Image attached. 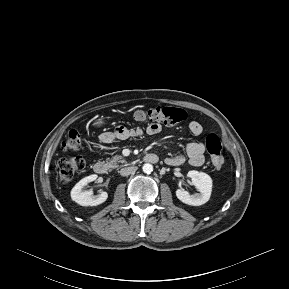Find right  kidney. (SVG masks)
Instances as JSON below:
<instances>
[{"mask_svg":"<svg viewBox=\"0 0 289 289\" xmlns=\"http://www.w3.org/2000/svg\"><path fill=\"white\" fill-rule=\"evenodd\" d=\"M97 179V175L92 174L81 179L71 190V198L81 206H97L105 202L108 198L106 192L94 195L92 191H85L84 187Z\"/></svg>","mask_w":289,"mask_h":289,"instance_id":"obj_1","label":"right kidney"}]
</instances>
